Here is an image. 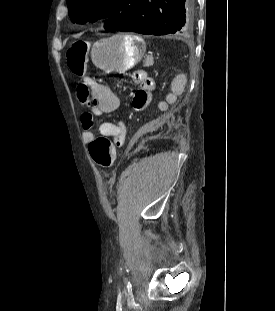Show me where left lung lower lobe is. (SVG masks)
<instances>
[{"label":"left lung lower lobe","instance_id":"left-lung-lower-lobe-1","mask_svg":"<svg viewBox=\"0 0 275 311\" xmlns=\"http://www.w3.org/2000/svg\"><path fill=\"white\" fill-rule=\"evenodd\" d=\"M194 0H141L135 16L117 31L145 35L192 31Z\"/></svg>","mask_w":275,"mask_h":311}]
</instances>
